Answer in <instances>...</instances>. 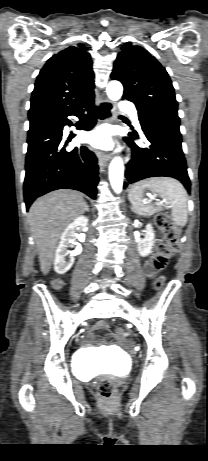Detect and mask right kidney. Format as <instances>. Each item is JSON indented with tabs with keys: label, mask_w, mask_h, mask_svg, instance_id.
<instances>
[{
	"label": "right kidney",
	"mask_w": 208,
	"mask_h": 461,
	"mask_svg": "<svg viewBox=\"0 0 208 461\" xmlns=\"http://www.w3.org/2000/svg\"><path fill=\"white\" fill-rule=\"evenodd\" d=\"M88 226V218L85 216H79L71 224L67 226L61 235L59 246L55 252L54 270L58 274H65L74 263V256L79 255L82 252V247L77 246L72 252V255L68 261L65 257L68 255V248L71 243L75 240L76 231L79 227L85 229Z\"/></svg>",
	"instance_id": "ca27d5eb"
}]
</instances>
